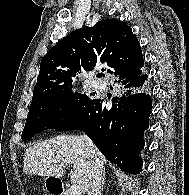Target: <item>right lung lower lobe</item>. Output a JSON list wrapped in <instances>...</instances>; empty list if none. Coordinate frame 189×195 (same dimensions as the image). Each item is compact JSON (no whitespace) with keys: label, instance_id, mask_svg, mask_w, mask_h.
I'll list each match as a JSON object with an SVG mask.
<instances>
[{"label":"right lung lower lobe","instance_id":"obj_1","mask_svg":"<svg viewBox=\"0 0 189 195\" xmlns=\"http://www.w3.org/2000/svg\"><path fill=\"white\" fill-rule=\"evenodd\" d=\"M142 67L115 75L120 94L112 99L111 107H106L104 100H90L55 130L84 131L110 162L125 172L140 173L139 153L152 110Z\"/></svg>","mask_w":189,"mask_h":195}]
</instances>
